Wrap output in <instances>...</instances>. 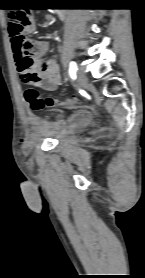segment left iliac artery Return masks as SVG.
<instances>
[{"mask_svg": "<svg viewBox=\"0 0 145 278\" xmlns=\"http://www.w3.org/2000/svg\"><path fill=\"white\" fill-rule=\"evenodd\" d=\"M76 72H77V64L74 61H71L69 65V74L72 79L76 78Z\"/></svg>", "mask_w": 145, "mask_h": 278, "instance_id": "obj_1", "label": "left iliac artery"}]
</instances>
